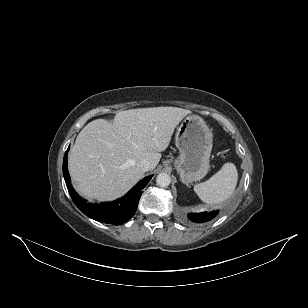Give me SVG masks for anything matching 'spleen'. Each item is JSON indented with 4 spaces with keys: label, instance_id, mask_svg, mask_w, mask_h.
<instances>
[{
    "label": "spleen",
    "instance_id": "3e777b00",
    "mask_svg": "<svg viewBox=\"0 0 308 308\" xmlns=\"http://www.w3.org/2000/svg\"><path fill=\"white\" fill-rule=\"evenodd\" d=\"M238 172L233 163H225L211 178L196 184L194 191L207 204H220L229 199L236 188Z\"/></svg>",
    "mask_w": 308,
    "mask_h": 308
}]
</instances>
